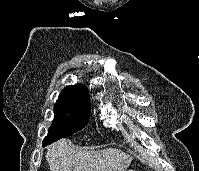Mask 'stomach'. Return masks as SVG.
Masks as SVG:
<instances>
[{"label":"stomach","instance_id":"1","mask_svg":"<svg viewBox=\"0 0 199 171\" xmlns=\"http://www.w3.org/2000/svg\"><path fill=\"white\" fill-rule=\"evenodd\" d=\"M125 171H135L134 169H126Z\"/></svg>","mask_w":199,"mask_h":171}]
</instances>
